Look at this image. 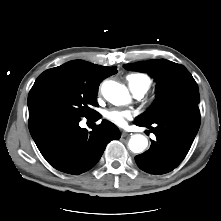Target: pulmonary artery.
Wrapping results in <instances>:
<instances>
[{
    "label": "pulmonary artery",
    "instance_id": "pulmonary-artery-1",
    "mask_svg": "<svg viewBox=\"0 0 221 221\" xmlns=\"http://www.w3.org/2000/svg\"><path fill=\"white\" fill-rule=\"evenodd\" d=\"M132 92L136 98H141L144 95V92L142 90H136Z\"/></svg>",
    "mask_w": 221,
    "mask_h": 221
}]
</instances>
